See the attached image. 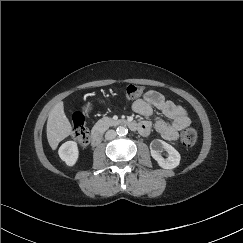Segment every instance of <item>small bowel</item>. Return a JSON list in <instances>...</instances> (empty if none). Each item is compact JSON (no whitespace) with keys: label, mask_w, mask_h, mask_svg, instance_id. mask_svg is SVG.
I'll return each mask as SVG.
<instances>
[{"label":"small bowel","mask_w":243,"mask_h":243,"mask_svg":"<svg viewBox=\"0 0 243 243\" xmlns=\"http://www.w3.org/2000/svg\"><path fill=\"white\" fill-rule=\"evenodd\" d=\"M153 108L158 109L170 122L164 119H157L154 123L156 132L167 141H174L178 138L179 131L190 125L191 121L185 109L172 101L167 100L161 93L149 90L143 97L132 104V110L142 116L152 115ZM138 132L142 136H148L152 131L150 121L139 122Z\"/></svg>","instance_id":"obj_1"}]
</instances>
